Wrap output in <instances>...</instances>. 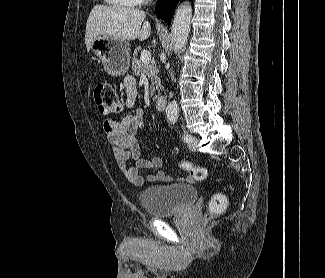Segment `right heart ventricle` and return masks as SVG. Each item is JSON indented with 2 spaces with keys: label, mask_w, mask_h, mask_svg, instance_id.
Here are the masks:
<instances>
[{
  "label": "right heart ventricle",
  "mask_w": 325,
  "mask_h": 278,
  "mask_svg": "<svg viewBox=\"0 0 325 278\" xmlns=\"http://www.w3.org/2000/svg\"><path fill=\"white\" fill-rule=\"evenodd\" d=\"M108 3L119 7H135L139 4L138 0H106Z\"/></svg>",
  "instance_id": "e07e8e85"
}]
</instances>
